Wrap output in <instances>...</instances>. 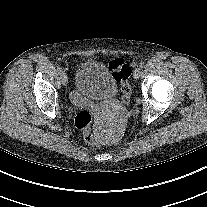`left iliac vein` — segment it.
<instances>
[{
    "label": "left iliac vein",
    "mask_w": 207,
    "mask_h": 207,
    "mask_svg": "<svg viewBox=\"0 0 207 207\" xmlns=\"http://www.w3.org/2000/svg\"><path fill=\"white\" fill-rule=\"evenodd\" d=\"M140 75H141V69L139 67H137L134 71L133 77L135 79H138L140 77Z\"/></svg>",
    "instance_id": "1"
}]
</instances>
